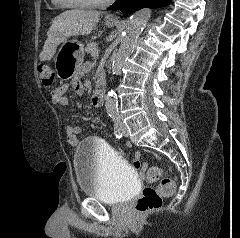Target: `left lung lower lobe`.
<instances>
[{
	"instance_id": "left-lung-lower-lobe-1",
	"label": "left lung lower lobe",
	"mask_w": 240,
	"mask_h": 238,
	"mask_svg": "<svg viewBox=\"0 0 240 238\" xmlns=\"http://www.w3.org/2000/svg\"><path fill=\"white\" fill-rule=\"evenodd\" d=\"M170 2L171 0H117L108 9L132 14L141 8H159L168 5Z\"/></svg>"
}]
</instances>
